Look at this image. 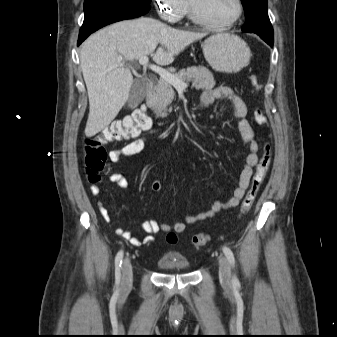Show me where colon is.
I'll use <instances>...</instances> for the list:
<instances>
[{"label": "colon", "instance_id": "5ec220e1", "mask_svg": "<svg viewBox=\"0 0 337 337\" xmlns=\"http://www.w3.org/2000/svg\"><path fill=\"white\" fill-rule=\"evenodd\" d=\"M250 82L256 91L261 90L262 83L256 76H252L250 78ZM253 119L259 126L267 124L264 112L259 107L254 109ZM149 126V118L145 114H139L134 115L133 117H125L123 119L116 120L100 133L86 138L84 143V162L89 182L91 184H98L100 182V175L107 160V152L105 148L107 144L121 142L135 137L142 129H146ZM270 161L271 147L267 142H263L260 157L258 163L256 164L255 173L240 206L239 214L241 216L246 214L252 207L260 186L269 169ZM166 239L168 243H175L177 241V235L174 232H168ZM209 240L210 237L208 234L198 233L193 237L192 243L195 247H201L207 244Z\"/></svg>", "mask_w": 337, "mask_h": 337}]
</instances>
